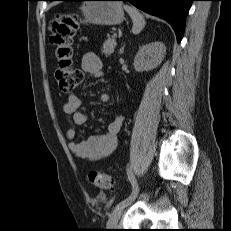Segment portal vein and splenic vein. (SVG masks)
Wrapping results in <instances>:
<instances>
[{"label":"portal vein and splenic vein","instance_id":"1","mask_svg":"<svg viewBox=\"0 0 231 231\" xmlns=\"http://www.w3.org/2000/svg\"><path fill=\"white\" fill-rule=\"evenodd\" d=\"M114 37H117V33H114Z\"/></svg>","mask_w":231,"mask_h":231}]
</instances>
